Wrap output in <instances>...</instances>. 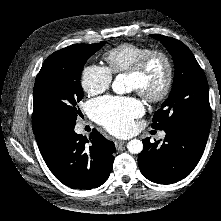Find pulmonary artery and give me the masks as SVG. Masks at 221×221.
I'll use <instances>...</instances> for the list:
<instances>
[{"label": "pulmonary artery", "mask_w": 221, "mask_h": 221, "mask_svg": "<svg viewBox=\"0 0 221 221\" xmlns=\"http://www.w3.org/2000/svg\"><path fill=\"white\" fill-rule=\"evenodd\" d=\"M164 137H165V133L163 132V133L160 134V138L163 139Z\"/></svg>", "instance_id": "obj_1"}]
</instances>
